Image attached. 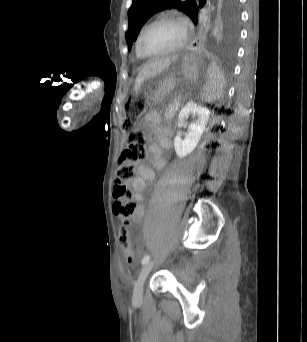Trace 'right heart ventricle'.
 Here are the masks:
<instances>
[{"mask_svg": "<svg viewBox=\"0 0 307 342\" xmlns=\"http://www.w3.org/2000/svg\"><path fill=\"white\" fill-rule=\"evenodd\" d=\"M146 22H147V21H146ZM146 22H143V24L140 26L139 31H138V34H137V40H138L139 33H140V31H141L143 25H144ZM136 48H137V44H136ZM137 56H138V58L143 59V58L138 54V52H137Z\"/></svg>", "mask_w": 307, "mask_h": 342, "instance_id": "e07e8e85", "label": "right heart ventricle"}]
</instances>
